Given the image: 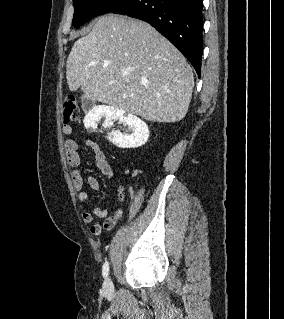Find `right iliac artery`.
<instances>
[{
    "mask_svg": "<svg viewBox=\"0 0 284 319\" xmlns=\"http://www.w3.org/2000/svg\"><path fill=\"white\" fill-rule=\"evenodd\" d=\"M108 273H109V262L106 261L103 265V268H102V274L104 277H107Z\"/></svg>",
    "mask_w": 284,
    "mask_h": 319,
    "instance_id": "1",
    "label": "right iliac artery"
}]
</instances>
